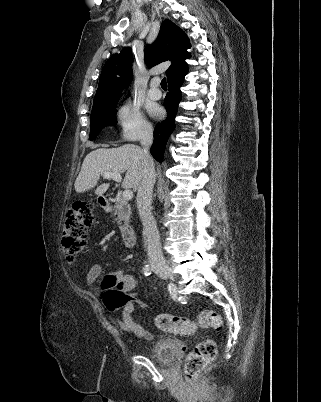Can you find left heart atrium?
I'll return each mask as SVG.
<instances>
[{
    "mask_svg": "<svg viewBox=\"0 0 321 402\" xmlns=\"http://www.w3.org/2000/svg\"><path fill=\"white\" fill-rule=\"evenodd\" d=\"M151 113H152V115H154V116H158L159 113H160V110H159L158 108H154V109L151 110Z\"/></svg>",
    "mask_w": 321,
    "mask_h": 402,
    "instance_id": "obj_1",
    "label": "left heart atrium"
}]
</instances>
